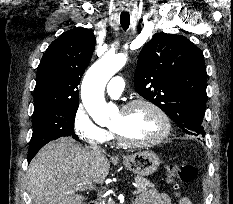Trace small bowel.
I'll list each match as a JSON object with an SVG mask.
<instances>
[{"label":"small bowel","mask_w":233,"mask_h":204,"mask_svg":"<svg viewBox=\"0 0 233 204\" xmlns=\"http://www.w3.org/2000/svg\"><path fill=\"white\" fill-rule=\"evenodd\" d=\"M177 204H192L190 199L180 191L175 193ZM134 204H173L169 195L158 189H150L147 192L141 193L135 199ZM175 204V203H174Z\"/></svg>","instance_id":"obj_1"}]
</instances>
